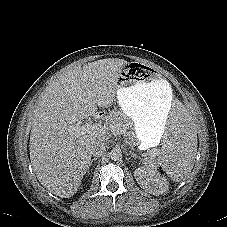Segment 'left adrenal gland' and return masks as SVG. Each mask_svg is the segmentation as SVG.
<instances>
[{"mask_svg":"<svg viewBox=\"0 0 227 227\" xmlns=\"http://www.w3.org/2000/svg\"><path fill=\"white\" fill-rule=\"evenodd\" d=\"M130 155H131V157H133V158H137V155L136 154H134L133 152H131L130 151Z\"/></svg>","mask_w":227,"mask_h":227,"instance_id":"1","label":"left adrenal gland"}]
</instances>
